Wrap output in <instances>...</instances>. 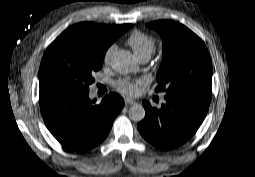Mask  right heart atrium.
I'll use <instances>...</instances> for the list:
<instances>
[{"label": "right heart atrium", "mask_w": 255, "mask_h": 177, "mask_svg": "<svg viewBox=\"0 0 255 177\" xmlns=\"http://www.w3.org/2000/svg\"><path fill=\"white\" fill-rule=\"evenodd\" d=\"M115 51V45H111L107 48V50L105 51V54H104V63H109L110 61V58L112 56V54L114 53Z\"/></svg>", "instance_id": "1"}]
</instances>
